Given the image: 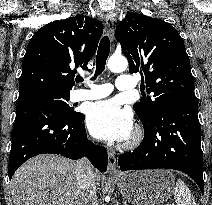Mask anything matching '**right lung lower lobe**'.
<instances>
[{"label": "right lung lower lobe", "instance_id": "obj_1", "mask_svg": "<svg viewBox=\"0 0 212 205\" xmlns=\"http://www.w3.org/2000/svg\"><path fill=\"white\" fill-rule=\"evenodd\" d=\"M83 120V114L70 117L41 103L18 104L9 156V178L26 160L45 153L75 160L86 156L94 167L105 172L107 151L88 141Z\"/></svg>", "mask_w": 212, "mask_h": 205}]
</instances>
